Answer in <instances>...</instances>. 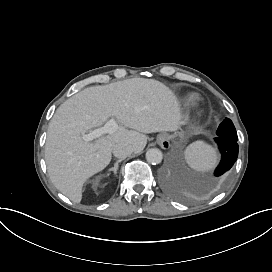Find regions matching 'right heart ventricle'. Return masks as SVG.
Masks as SVG:
<instances>
[{
    "mask_svg": "<svg viewBox=\"0 0 272 272\" xmlns=\"http://www.w3.org/2000/svg\"><path fill=\"white\" fill-rule=\"evenodd\" d=\"M182 98L185 102H190L195 98V94L193 92H186Z\"/></svg>",
    "mask_w": 272,
    "mask_h": 272,
    "instance_id": "1",
    "label": "right heart ventricle"
}]
</instances>
